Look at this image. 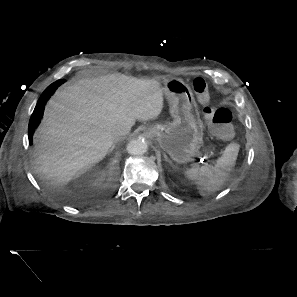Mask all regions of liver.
<instances>
[{"mask_svg":"<svg viewBox=\"0 0 297 297\" xmlns=\"http://www.w3.org/2000/svg\"><path fill=\"white\" fill-rule=\"evenodd\" d=\"M161 83L121 73L80 79L58 92L45 108L34 135V169L64 191L74 177L101 161L117 139L113 129L130 128L163 109Z\"/></svg>","mask_w":297,"mask_h":297,"instance_id":"1","label":"liver"}]
</instances>
